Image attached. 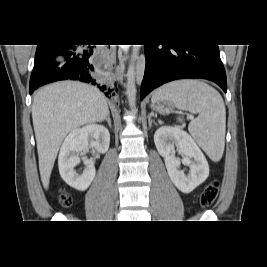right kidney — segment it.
Listing matches in <instances>:
<instances>
[{
    "instance_id": "right-kidney-1",
    "label": "right kidney",
    "mask_w": 267,
    "mask_h": 267,
    "mask_svg": "<svg viewBox=\"0 0 267 267\" xmlns=\"http://www.w3.org/2000/svg\"><path fill=\"white\" fill-rule=\"evenodd\" d=\"M109 144V131L102 125L89 124L70 132L62 144L58 158L63 180L77 190H86L95 178L94 159L83 158L86 167L82 172H77L75 167L81 162L79 154L88 151L90 147L98 153H105Z\"/></svg>"
}]
</instances>
